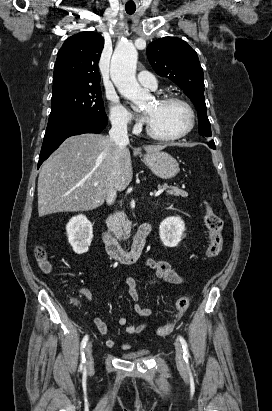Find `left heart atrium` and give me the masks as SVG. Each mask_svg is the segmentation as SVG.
<instances>
[{"instance_id":"1","label":"left heart atrium","mask_w":272,"mask_h":411,"mask_svg":"<svg viewBox=\"0 0 272 411\" xmlns=\"http://www.w3.org/2000/svg\"><path fill=\"white\" fill-rule=\"evenodd\" d=\"M145 120L148 121V114L145 115Z\"/></svg>"}]
</instances>
